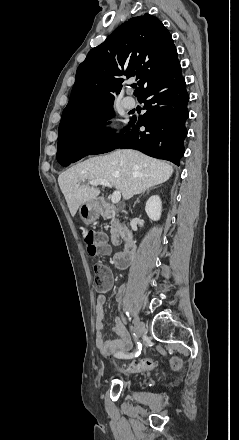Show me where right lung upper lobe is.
I'll list each match as a JSON object with an SVG mask.
<instances>
[{
  "label": "right lung upper lobe",
  "instance_id": "1",
  "mask_svg": "<svg viewBox=\"0 0 239 440\" xmlns=\"http://www.w3.org/2000/svg\"><path fill=\"white\" fill-rule=\"evenodd\" d=\"M178 62L172 37L158 18L145 14L129 19L91 49L79 65L60 123L112 103L125 77L139 79L134 92L139 96Z\"/></svg>",
  "mask_w": 239,
  "mask_h": 440
}]
</instances>
